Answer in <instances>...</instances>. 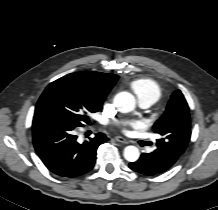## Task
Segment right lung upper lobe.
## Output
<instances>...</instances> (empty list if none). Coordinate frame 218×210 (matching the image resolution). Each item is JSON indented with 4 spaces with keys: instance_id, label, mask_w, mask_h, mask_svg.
Listing matches in <instances>:
<instances>
[{
    "instance_id": "cb5924a9",
    "label": "right lung upper lobe",
    "mask_w": 218,
    "mask_h": 210,
    "mask_svg": "<svg viewBox=\"0 0 218 210\" xmlns=\"http://www.w3.org/2000/svg\"><path fill=\"white\" fill-rule=\"evenodd\" d=\"M118 78L115 74L82 71L68 74L56 81L102 107L104 99Z\"/></svg>"
}]
</instances>
